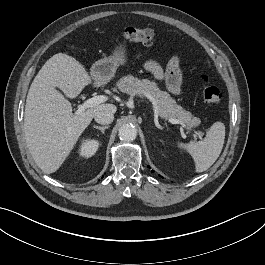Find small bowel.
Returning <instances> with one entry per match:
<instances>
[{
	"label": "small bowel",
	"instance_id": "small-bowel-1",
	"mask_svg": "<svg viewBox=\"0 0 265 265\" xmlns=\"http://www.w3.org/2000/svg\"><path fill=\"white\" fill-rule=\"evenodd\" d=\"M144 67L157 79L164 81L167 89L172 94H181L182 76L180 71V60L178 57H172L166 68H163L154 60H147L144 63Z\"/></svg>",
	"mask_w": 265,
	"mask_h": 265
}]
</instances>
